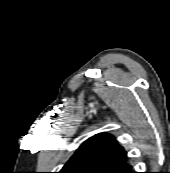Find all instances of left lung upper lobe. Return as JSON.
<instances>
[{"instance_id":"1","label":"left lung upper lobe","mask_w":170,"mask_h":173,"mask_svg":"<svg viewBox=\"0 0 170 173\" xmlns=\"http://www.w3.org/2000/svg\"><path fill=\"white\" fill-rule=\"evenodd\" d=\"M128 166L115 137L99 133L84 141L59 173H121Z\"/></svg>"}]
</instances>
